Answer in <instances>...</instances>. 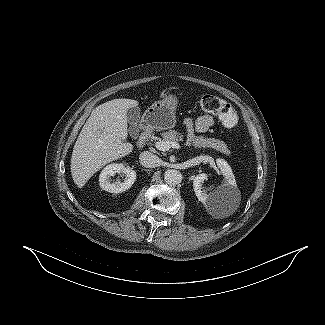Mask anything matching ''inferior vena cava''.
<instances>
[{
    "instance_id": "602c4592",
    "label": "inferior vena cava",
    "mask_w": 325,
    "mask_h": 325,
    "mask_svg": "<svg viewBox=\"0 0 325 325\" xmlns=\"http://www.w3.org/2000/svg\"><path fill=\"white\" fill-rule=\"evenodd\" d=\"M140 163L146 168H154L159 164L158 156L149 151H144L139 156Z\"/></svg>"
}]
</instances>
